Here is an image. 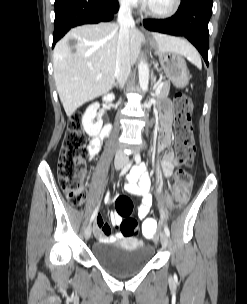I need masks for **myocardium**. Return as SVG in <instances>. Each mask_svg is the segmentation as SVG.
Returning <instances> with one entry per match:
<instances>
[{
	"label": "myocardium",
	"mask_w": 247,
	"mask_h": 304,
	"mask_svg": "<svg viewBox=\"0 0 247 304\" xmlns=\"http://www.w3.org/2000/svg\"><path fill=\"white\" fill-rule=\"evenodd\" d=\"M180 5H181V0H174L173 6L170 10H168L166 12H156L149 7L148 3H146L144 5V10L149 16H151L153 18L168 19V18L173 17L178 12Z\"/></svg>",
	"instance_id": "f54148a6"
}]
</instances>
